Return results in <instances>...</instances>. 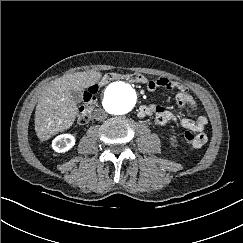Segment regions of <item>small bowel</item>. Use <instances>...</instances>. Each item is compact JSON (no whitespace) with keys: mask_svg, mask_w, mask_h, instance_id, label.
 Masks as SVG:
<instances>
[{"mask_svg":"<svg viewBox=\"0 0 243 243\" xmlns=\"http://www.w3.org/2000/svg\"><path fill=\"white\" fill-rule=\"evenodd\" d=\"M146 83L147 88L150 91H154L157 88H163L167 90L177 89L176 104L179 107H184L187 105L192 110H197V102L195 101L193 96L189 94L185 86L173 82L167 78H160ZM139 116L142 118L153 116L154 122L158 125H164L170 121L176 120L177 118V116L173 112L156 105L142 106L139 110ZM207 122V117L204 115H198L195 120L189 118L181 119L180 123L182 127L196 133L197 141L192 144L193 147L200 148L207 142V136L204 132Z\"/></svg>","mask_w":243,"mask_h":243,"instance_id":"1","label":"small bowel"}]
</instances>
